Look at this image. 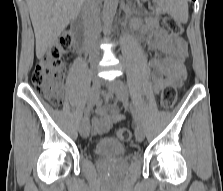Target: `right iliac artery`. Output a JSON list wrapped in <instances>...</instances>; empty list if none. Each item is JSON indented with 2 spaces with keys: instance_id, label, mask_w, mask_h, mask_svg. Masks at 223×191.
I'll return each mask as SVG.
<instances>
[{
  "instance_id": "obj_1",
  "label": "right iliac artery",
  "mask_w": 223,
  "mask_h": 191,
  "mask_svg": "<svg viewBox=\"0 0 223 191\" xmlns=\"http://www.w3.org/2000/svg\"><path fill=\"white\" fill-rule=\"evenodd\" d=\"M92 106L91 105H87L86 108L84 109V113L85 115H88V113L90 112Z\"/></svg>"
}]
</instances>
